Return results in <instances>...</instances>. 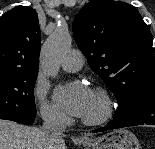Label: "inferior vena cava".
<instances>
[{
    "instance_id": "1",
    "label": "inferior vena cava",
    "mask_w": 155,
    "mask_h": 149,
    "mask_svg": "<svg viewBox=\"0 0 155 149\" xmlns=\"http://www.w3.org/2000/svg\"><path fill=\"white\" fill-rule=\"evenodd\" d=\"M44 120L42 130L44 132L49 149H56V145L63 142L62 135L65 131L63 116L55 111H48L42 114Z\"/></svg>"
}]
</instances>
